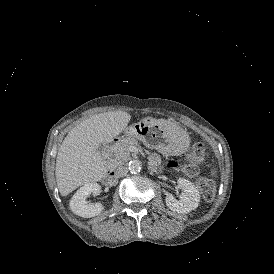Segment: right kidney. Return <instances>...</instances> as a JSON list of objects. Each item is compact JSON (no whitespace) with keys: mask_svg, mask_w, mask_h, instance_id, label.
Segmentation results:
<instances>
[{"mask_svg":"<svg viewBox=\"0 0 274 274\" xmlns=\"http://www.w3.org/2000/svg\"><path fill=\"white\" fill-rule=\"evenodd\" d=\"M101 192V186L97 183H86L73 195L70 200L71 211L83 218H91L99 215L104 209L101 203L88 204L86 198L90 194L99 195Z\"/></svg>","mask_w":274,"mask_h":274,"instance_id":"1","label":"right kidney"}]
</instances>
